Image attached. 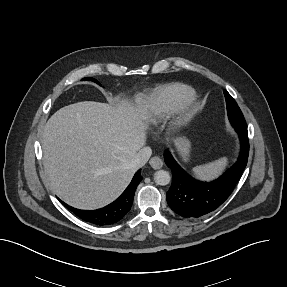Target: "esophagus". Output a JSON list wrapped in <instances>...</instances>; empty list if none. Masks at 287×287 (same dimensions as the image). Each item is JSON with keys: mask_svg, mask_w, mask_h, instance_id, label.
Returning a JSON list of instances; mask_svg holds the SVG:
<instances>
[{"mask_svg": "<svg viewBox=\"0 0 287 287\" xmlns=\"http://www.w3.org/2000/svg\"><path fill=\"white\" fill-rule=\"evenodd\" d=\"M149 164L153 169H160L163 166V161L160 157L154 156L150 159Z\"/></svg>", "mask_w": 287, "mask_h": 287, "instance_id": "1", "label": "esophagus"}]
</instances>
